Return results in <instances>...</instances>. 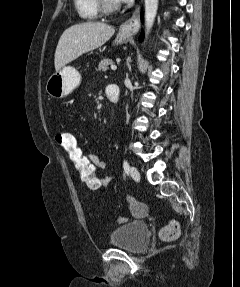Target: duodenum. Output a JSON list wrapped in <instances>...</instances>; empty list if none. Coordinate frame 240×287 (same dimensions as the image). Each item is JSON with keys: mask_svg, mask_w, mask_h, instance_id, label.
I'll list each match as a JSON object with an SVG mask.
<instances>
[{"mask_svg": "<svg viewBox=\"0 0 240 287\" xmlns=\"http://www.w3.org/2000/svg\"><path fill=\"white\" fill-rule=\"evenodd\" d=\"M107 98L113 102V103H116L118 102L119 100V97H120V88L117 84H110L108 86V89H107Z\"/></svg>", "mask_w": 240, "mask_h": 287, "instance_id": "obj_1", "label": "duodenum"}]
</instances>
